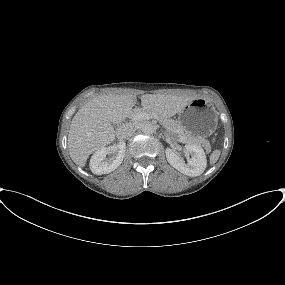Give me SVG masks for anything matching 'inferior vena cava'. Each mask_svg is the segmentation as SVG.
Listing matches in <instances>:
<instances>
[{"mask_svg":"<svg viewBox=\"0 0 285 285\" xmlns=\"http://www.w3.org/2000/svg\"><path fill=\"white\" fill-rule=\"evenodd\" d=\"M134 131V125L131 123L123 124L116 131V136L118 139L123 140L132 134Z\"/></svg>","mask_w":285,"mask_h":285,"instance_id":"obj_1","label":"inferior vena cava"}]
</instances>
